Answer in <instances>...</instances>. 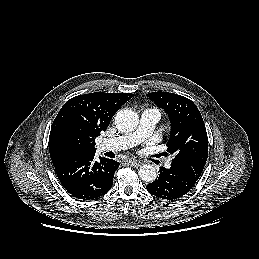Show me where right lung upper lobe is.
I'll return each instance as SVG.
<instances>
[{
    "instance_id": "right-lung-upper-lobe-1",
    "label": "right lung upper lobe",
    "mask_w": 259,
    "mask_h": 259,
    "mask_svg": "<svg viewBox=\"0 0 259 259\" xmlns=\"http://www.w3.org/2000/svg\"><path fill=\"white\" fill-rule=\"evenodd\" d=\"M134 95L89 93L68 100L56 116L49 136L53 165L80 155L95 154V139L112 117Z\"/></svg>"
}]
</instances>
